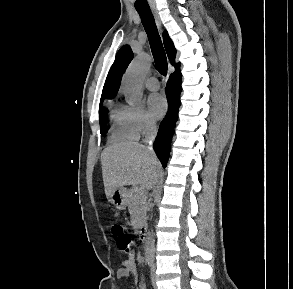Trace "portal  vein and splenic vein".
<instances>
[{
	"mask_svg": "<svg viewBox=\"0 0 293 289\" xmlns=\"http://www.w3.org/2000/svg\"><path fill=\"white\" fill-rule=\"evenodd\" d=\"M134 190H135L136 192H142L141 189H139V188H134Z\"/></svg>",
	"mask_w": 293,
	"mask_h": 289,
	"instance_id": "portal-vein-and-splenic-vein-1",
	"label": "portal vein and splenic vein"
}]
</instances>
